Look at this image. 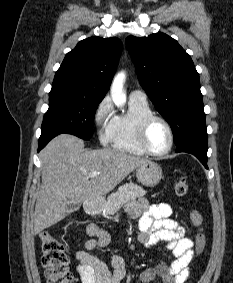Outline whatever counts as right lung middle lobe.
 <instances>
[{
  "label": "right lung middle lobe",
  "mask_w": 233,
  "mask_h": 283,
  "mask_svg": "<svg viewBox=\"0 0 233 283\" xmlns=\"http://www.w3.org/2000/svg\"><path fill=\"white\" fill-rule=\"evenodd\" d=\"M101 99L63 88H52L49 109L44 115L41 139L62 133L90 140L93 135L94 114Z\"/></svg>",
  "instance_id": "right-lung-middle-lobe-1"
}]
</instances>
